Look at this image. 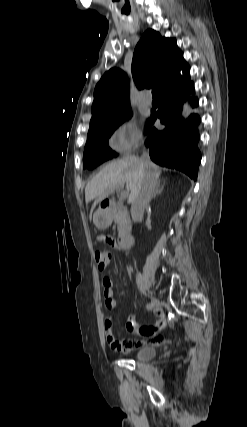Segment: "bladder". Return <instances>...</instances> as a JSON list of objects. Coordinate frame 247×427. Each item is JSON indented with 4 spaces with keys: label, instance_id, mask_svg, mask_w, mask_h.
<instances>
[{
    "label": "bladder",
    "instance_id": "31cf9c89",
    "mask_svg": "<svg viewBox=\"0 0 247 427\" xmlns=\"http://www.w3.org/2000/svg\"><path fill=\"white\" fill-rule=\"evenodd\" d=\"M156 350L153 346H143L139 348L135 354V359L138 361H148L155 356Z\"/></svg>",
    "mask_w": 247,
    "mask_h": 427
}]
</instances>
